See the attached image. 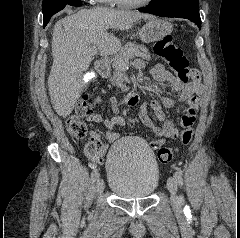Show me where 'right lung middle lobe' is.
Returning a JSON list of instances; mask_svg holds the SVG:
<instances>
[{
    "label": "right lung middle lobe",
    "mask_w": 240,
    "mask_h": 238,
    "mask_svg": "<svg viewBox=\"0 0 240 238\" xmlns=\"http://www.w3.org/2000/svg\"><path fill=\"white\" fill-rule=\"evenodd\" d=\"M80 0H43V17H44V27L49 22L50 18L62 10L66 5H75L79 3Z\"/></svg>",
    "instance_id": "right-lung-middle-lobe-1"
}]
</instances>
